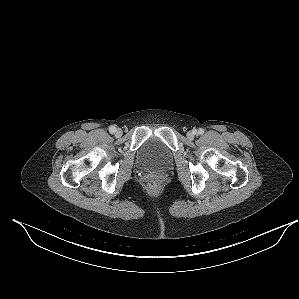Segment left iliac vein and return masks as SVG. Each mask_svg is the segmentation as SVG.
I'll return each instance as SVG.
<instances>
[{
    "label": "left iliac vein",
    "instance_id": "left-iliac-vein-1",
    "mask_svg": "<svg viewBox=\"0 0 299 299\" xmlns=\"http://www.w3.org/2000/svg\"><path fill=\"white\" fill-rule=\"evenodd\" d=\"M195 134H196V130L189 131V132L187 133V137H188V139L192 140V139L194 138Z\"/></svg>",
    "mask_w": 299,
    "mask_h": 299
}]
</instances>
